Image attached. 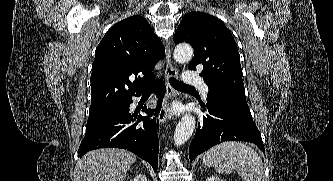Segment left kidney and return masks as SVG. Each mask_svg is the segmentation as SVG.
I'll use <instances>...</instances> for the list:
<instances>
[{
  "instance_id": "left-kidney-1",
  "label": "left kidney",
  "mask_w": 333,
  "mask_h": 181,
  "mask_svg": "<svg viewBox=\"0 0 333 181\" xmlns=\"http://www.w3.org/2000/svg\"><path fill=\"white\" fill-rule=\"evenodd\" d=\"M206 181H224V180L216 176H210L206 179Z\"/></svg>"
}]
</instances>
